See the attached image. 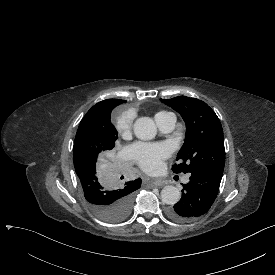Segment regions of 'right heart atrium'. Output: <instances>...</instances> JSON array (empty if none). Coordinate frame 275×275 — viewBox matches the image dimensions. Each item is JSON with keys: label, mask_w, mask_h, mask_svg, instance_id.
I'll return each instance as SVG.
<instances>
[{"label": "right heart atrium", "mask_w": 275, "mask_h": 275, "mask_svg": "<svg viewBox=\"0 0 275 275\" xmlns=\"http://www.w3.org/2000/svg\"><path fill=\"white\" fill-rule=\"evenodd\" d=\"M132 120L133 117L132 116H123L120 119H118L117 123H116V129L119 133V135H126L130 129H131V125H132Z\"/></svg>", "instance_id": "d8ad5b80"}]
</instances>
